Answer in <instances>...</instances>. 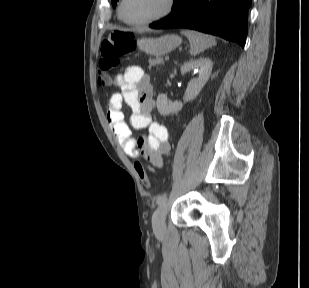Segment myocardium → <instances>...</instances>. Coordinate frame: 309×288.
Segmentation results:
<instances>
[{
  "mask_svg": "<svg viewBox=\"0 0 309 288\" xmlns=\"http://www.w3.org/2000/svg\"><path fill=\"white\" fill-rule=\"evenodd\" d=\"M126 0H121L119 7H118V14L120 19L127 25L129 26H133V27H141V26H147V25H151L153 23H156L164 18H166L167 16H169L174 8H175V2L176 0H165V8L163 9V11H161L159 14H157L156 16H153L149 19L146 20H142V21H129L124 17L123 14V7L125 4Z\"/></svg>",
  "mask_w": 309,
  "mask_h": 288,
  "instance_id": "f54148a6",
  "label": "myocardium"
}]
</instances>
